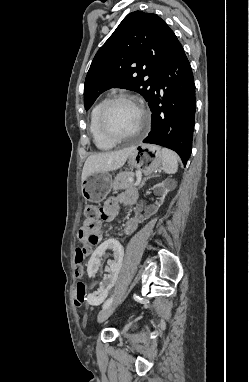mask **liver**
Instances as JSON below:
<instances>
[{"instance_id":"6515ba94","label":"liver","mask_w":249,"mask_h":382,"mask_svg":"<svg viewBox=\"0 0 249 382\" xmlns=\"http://www.w3.org/2000/svg\"><path fill=\"white\" fill-rule=\"evenodd\" d=\"M132 151L133 147H130L119 151L90 155L83 167L82 181L95 172H108L119 169L125 164Z\"/></svg>"}]
</instances>
